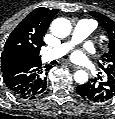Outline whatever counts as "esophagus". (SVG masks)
Masks as SVG:
<instances>
[{"instance_id": "34e87169", "label": "esophagus", "mask_w": 115, "mask_h": 119, "mask_svg": "<svg viewBox=\"0 0 115 119\" xmlns=\"http://www.w3.org/2000/svg\"><path fill=\"white\" fill-rule=\"evenodd\" d=\"M70 66H72V68H73L74 70H78V69L81 68L80 66H77V65H74V64H70Z\"/></svg>"}]
</instances>
